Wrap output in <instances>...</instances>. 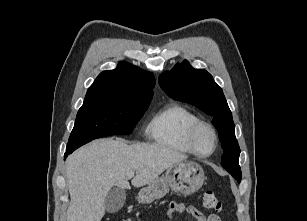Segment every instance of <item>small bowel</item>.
I'll list each match as a JSON object with an SVG mask.
<instances>
[{"mask_svg":"<svg viewBox=\"0 0 307 221\" xmlns=\"http://www.w3.org/2000/svg\"><path fill=\"white\" fill-rule=\"evenodd\" d=\"M176 213H186L192 215L197 219V221H221L220 217L216 214H205L197 210L194 206L172 202L168 206L167 216L172 220Z\"/></svg>","mask_w":307,"mask_h":221,"instance_id":"obj_1","label":"small bowel"}]
</instances>
